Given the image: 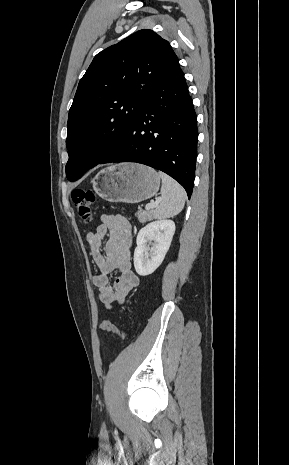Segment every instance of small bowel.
Segmentation results:
<instances>
[{"label":"small bowel","instance_id":"small-bowel-1","mask_svg":"<svg viewBox=\"0 0 289 465\" xmlns=\"http://www.w3.org/2000/svg\"><path fill=\"white\" fill-rule=\"evenodd\" d=\"M104 239L105 247L102 250ZM85 241L100 270V274L92 276V282L98 288L101 302L107 308L123 303L128 293L139 283L130 262L131 224L121 215L102 214L95 232L87 233ZM113 271L119 275L111 284L109 274Z\"/></svg>","mask_w":289,"mask_h":465}]
</instances>
